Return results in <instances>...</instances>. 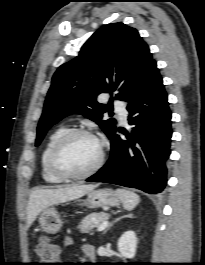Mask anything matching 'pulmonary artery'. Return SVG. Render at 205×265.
<instances>
[{
  "instance_id": "obj_1",
  "label": "pulmonary artery",
  "mask_w": 205,
  "mask_h": 265,
  "mask_svg": "<svg viewBox=\"0 0 205 265\" xmlns=\"http://www.w3.org/2000/svg\"><path fill=\"white\" fill-rule=\"evenodd\" d=\"M114 107H115L116 112L119 114L120 119L123 122H126L127 110H126L125 104L122 101H115Z\"/></svg>"
}]
</instances>
